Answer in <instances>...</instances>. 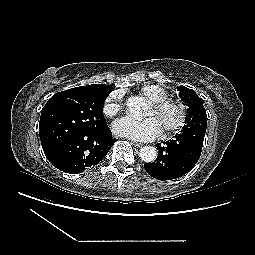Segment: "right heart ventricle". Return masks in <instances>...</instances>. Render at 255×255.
Masks as SVG:
<instances>
[{"label": "right heart ventricle", "mask_w": 255, "mask_h": 255, "mask_svg": "<svg viewBox=\"0 0 255 255\" xmlns=\"http://www.w3.org/2000/svg\"><path fill=\"white\" fill-rule=\"evenodd\" d=\"M141 95L150 102H158L168 98V92L158 85H145L140 90Z\"/></svg>", "instance_id": "right-heart-ventricle-1"}]
</instances>
